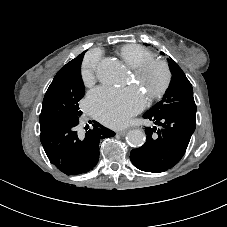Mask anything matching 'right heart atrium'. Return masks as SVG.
<instances>
[{"instance_id":"1","label":"right heart atrium","mask_w":227,"mask_h":227,"mask_svg":"<svg viewBox=\"0 0 227 227\" xmlns=\"http://www.w3.org/2000/svg\"><path fill=\"white\" fill-rule=\"evenodd\" d=\"M99 61L100 53L98 51L89 52L85 56L81 70V78L84 84L92 83Z\"/></svg>"}]
</instances>
